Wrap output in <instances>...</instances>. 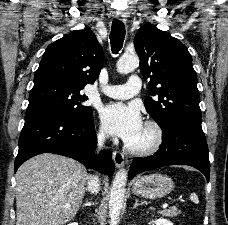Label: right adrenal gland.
<instances>
[{
	"label": "right adrenal gland",
	"instance_id": "right-adrenal-gland-1",
	"mask_svg": "<svg viewBox=\"0 0 228 225\" xmlns=\"http://www.w3.org/2000/svg\"><path fill=\"white\" fill-rule=\"evenodd\" d=\"M91 205H93L92 199H90V203H88V201L87 203H83L82 207H91Z\"/></svg>",
	"mask_w": 228,
	"mask_h": 225
}]
</instances>
